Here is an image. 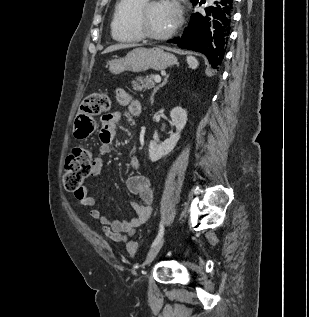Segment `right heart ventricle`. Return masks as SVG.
I'll return each instance as SVG.
<instances>
[{"instance_id":"e07e8e85","label":"right heart ventricle","mask_w":309,"mask_h":317,"mask_svg":"<svg viewBox=\"0 0 309 317\" xmlns=\"http://www.w3.org/2000/svg\"><path fill=\"white\" fill-rule=\"evenodd\" d=\"M146 0H119L111 20L112 37L120 42H136L142 39L136 28V13Z\"/></svg>"}]
</instances>
